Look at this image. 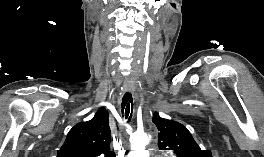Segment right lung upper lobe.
I'll return each mask as SVG.
<instances>
[{"label":"right lung upper lobe","mask_w":264,"mask_h":157,"mask_svg":"<svg viewBox=\"0 0 264 157\" xmlns=\"http://www.w3.org/2000/svg\"><path fill=\"white\" fill-rule=\"evenodd\" d=\"M110 140L108 112L101 109L93 119L78 123L69 131L57 157H115Z\"/></svg>","instance_id":"right-lung-upper-lobe-1"}]
</instances>
